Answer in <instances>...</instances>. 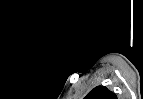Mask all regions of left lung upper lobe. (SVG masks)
<instances>
[{"label":"left lung upper lobe","instance_id":"obj_1","mask_svg":"<svg viewBox=\"0 0 143 99\" xmlns=\"http://www.w3.org/2000/svg\"><path fill=\"white\" fill-rule=\"evenodd\" d=\"M84 99H117V96L105 86H97Z\"/></svg>","mask_w":143,"mask_h":99}]
</instances>
